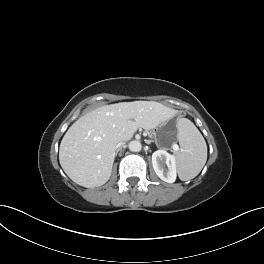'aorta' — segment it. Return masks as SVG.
Returning <instances> with one entry per match:
<instances>
[{"label": "aorta", "instance_id": "aorta-1", "mask_svg": "<svg viewBox=\"0 0 264 264\" xmlns=\"http://www.w3.org/2000/svg\"><path fill=\"white\" fill-rule=\"evenodd\" d=\"M128 147L132 152H139L142 149V145L139 141H131Z\"/></svg>", "mask_w": 264, "mask_h": 264}]
</instances>
